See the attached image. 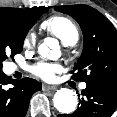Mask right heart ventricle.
<instances>
[{
    "label": "right heart ventricle",
    "instance_id": "obj_1",
    "mask_svg": "<svg viewBox=\"0 0 117 117\" xmlns=\"http://www.w3.org/2000/svg\"><path fill=\"white\" fill-rule=\"evenodd\" d=\"M42 28L59 38L64 45H74L79 39L75 23L65 16H53L42 23Z\"/></svg>",
    "mask_w": 117,
    "mask_h": 117
}]
</instances>
